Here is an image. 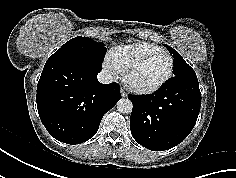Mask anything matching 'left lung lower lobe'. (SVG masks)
Wrapping results in <instances>:
<instances>
[{"label": "left lung lower lobe", "instance_id": "obj_1", "mask_svg": "<svg viewBox=\"0 0 236 178\" xmlns=\"http://www.w3.org/2000/svg\"><path fill=\"white\" fill-rule=\"evenodd\" d=\"M130 129L134 139L152 151L168 150L192 131L201 106L197 78L173 77L157 92L132 96Z\"/></svg>", "mask_w": 236, "mask_h": 178}]
</instances>
